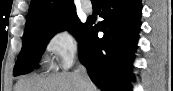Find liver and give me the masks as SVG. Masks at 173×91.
Segmentation results:
<instances>
[{
  "mask_svg": "<svg viewBox=\"0 0 173 91\" xmlns=\"http://www.w3.org/2000/svg\"><path fill=\"white\" fill-rule=\"evenodd\" d=\"M14 91H99L98 88L88 80V86L83 88L75 72H63L47 77H26L20 79Z\"/></svg>",
  "mask_w": 173,
  "mask_h": 91,
  "instance_id": "obj_1",
  "label": "liver"
}]
</instances>
